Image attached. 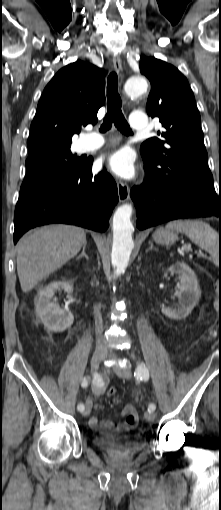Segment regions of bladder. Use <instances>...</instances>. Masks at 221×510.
I'll return each mask as SVG.
<instances>
[{"label":"bladder","instance_id":"1","mask_svg":"<svg viewBox=\"0 0 221 510\" xmlns=\"http://www.w3.org/2000/svg\"><path fill=\"white\" fill-rule=\"evenodd\" d=\"M94 444L103 452L111 454L135 453L143 449L146 441L143 437L109 433L94 438Z\"/></svg>","mask_w":221,"mask_h":510}]
</instances>
